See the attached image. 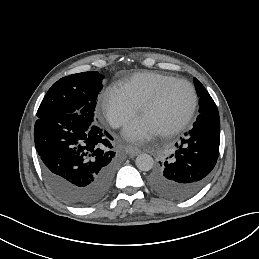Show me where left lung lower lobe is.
I'll list each match as a JSON object with an SVG mask.
<instances>
[{
    "label": "left lung lower lobe",
    "mask_w": 259,
    "mask_h": 259,
    "mask_svg": "<svg viewBox=\"0 0 259 259\" xmlns=\"http://www.w3.org/2000/svg\"><path fill=\"white\" fill-rule=\"evenodd\" d=\"M169 161L161 164L148 178L158 194L184 200L198 193L206 184L219 154L220 118L218 110L199 114L193 128L185 133Z\"/></svg>",
    "instance_id": "0a47b994"
}]
</instances>
